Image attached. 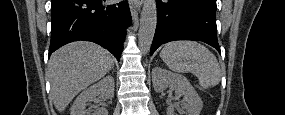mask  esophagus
Segmentation results:
<instances>
[{
	"instance_id": "34e87169",
	"label": "esophagus",
	"mask_w": 285,
	"mask_h": 115,
	"mask_svg": "<svg viewBox=\"0 0 285 115\" xmlns=\"http://www.w3.org/2000/svg\"><path fill=\"white\" fill-rule=\"evenodd\" d=\"M142 5V0H129V6L131 9L132 16H135V14L140 10Z\"/></svg>"
}]
</instances>
